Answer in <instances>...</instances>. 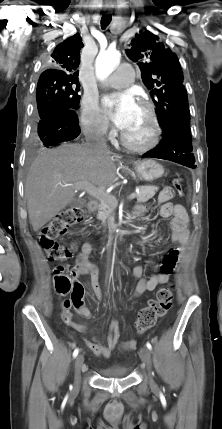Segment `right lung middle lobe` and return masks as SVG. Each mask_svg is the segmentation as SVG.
Returning a JSON list of instances; mask_svg holds the SVG:
<instances>
[{
  "instance_id": "obj_1",
  "label": "right lung middle lobe",
  "mask_w": 222,
  "mask_h": 429,
  "mask_svg": "<svg viewBox=\"0 0 222 429\" xmlns=\"http://www.w3.org/2000/svg\"><path fill=\"white\" fill-rule=\"evenodd\" d=\"M79 82L72 78H39L36 101L39 116L51 106L62 105L70 109L79 107Z\"/></svg>"
}]
</instances>
